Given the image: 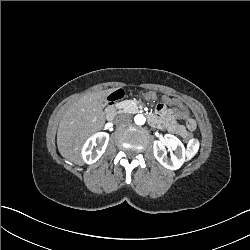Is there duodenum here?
Returning <instances> with one entry per match:
<instances>
[{
  "mask_svg": "<svg viewBox=\"0 0 250 250\" xmlns=\"http://www.w3.org/2000/svg\"><path fill=\"white\" fill-rule=\"evenodd\" d=\"M112 109V107L111 108H109V111ZM108 121H111V118L110 117H107L106 118Z\"/></svg>",
  "mask_w": 250,
  "mask_h": 250,
  "instance_id": "1",
  "label": "duodenum"
}]
</instances>
